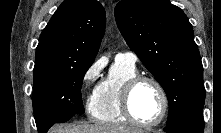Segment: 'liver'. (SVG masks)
<instances>
[{"mask_svg": "<svg viewBox=\"0 0 221 133\" xmlns=\"http://www.w3.org/2000/svg\"><path fill=\"white\" fill-rule=\"evenodd\" d=\"M49 133H143L140 129L111 125L105 123H95L92 125L85 123H74L57 125L50 129Z\"/></svg>", "mask_w": 221, "mask_h": 133, "instance_id": "liver-1", "label": "liver"}]
</instances>
